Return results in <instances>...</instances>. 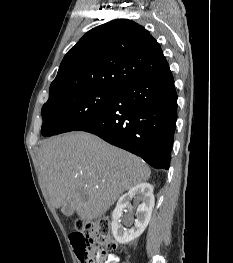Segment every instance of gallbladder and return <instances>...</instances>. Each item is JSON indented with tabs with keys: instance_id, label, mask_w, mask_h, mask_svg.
Instances as JSON below:
<instances>
[{
	"instance_id": "1",
	"label": "gallbladder",
	"mask_w": 233,
	"mask_h": 263,
	"mask_svg": "<svg viewBox=\"0 0 233 263\" xmlns=\"http://www.w3.org/2000/svg\"><path fill=\"white\" fill-rule=\"evenodd\" d=\"M61 211L67 217H70L74 214V209L70 205L62 207Z\"/></svg>"
}]
</instances>
